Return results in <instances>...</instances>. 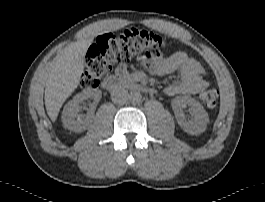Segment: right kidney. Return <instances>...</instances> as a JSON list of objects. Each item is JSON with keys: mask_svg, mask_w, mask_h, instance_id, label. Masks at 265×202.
<instances>
[{"mask_svg": "<svg viewBox=\"0 0 265 202\" xmlns=\"http://www.w3.org/2000/svg\"><path fill=\"white\" fill-rule=\"evenodd\" d=\"M101 95L102 92L98 89H86L76 94L63 109L62 122L64 127L77 133L86 130L89 117L86 115H78V111L84 100L93 99L95 102H98L101 99Z\"/></svg>", "mask_w": 265, "mask_h": 202, "instance_id": "obj_1", "label": "right kidney"}]
</instances>
